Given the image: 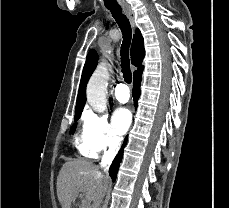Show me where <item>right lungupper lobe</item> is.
Masks as SVG:
<instances>
[{"label":"right lung upper lobe","instance_id":"1","mask_svg":"<svg viewBox=\"0 0 229 208\" xmlns=\"http://www.w3.org/2000/svg\"><path fill=\"white\" fill-rule=\"evenodd\" d=\"M145 56L144 50V41L139 29H136L135 34L133 36V42L131 46V60L132 64L138 69L134 71V77L140 73H142L144 67L142 65V60ZM98 63V55L95 50H90L87 58L86 63L83 68V73L80 81L79 92L77 96V103L75 108V120L79 119L83 110V107L86 102V85L87 82L95 70Z\"/></svg>","mask_w":229,"mask_h":208}]
</instances>
